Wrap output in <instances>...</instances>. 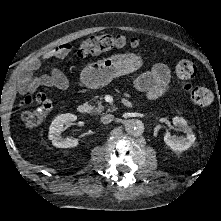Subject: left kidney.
<instances>
[{"instance_id": "1", "label": "left kidney", "mask_w": 221, "mask_h": 221, "mask_svg": "<svg viewBox=\"0 0 221 221\" xmlns=\"http://www.w3.org/2000/svg\"><path fill=\"white\" fill-rule=\"evenodd\" d=\"M173 125L175 129H180L186 136L178 137L176 135H171L169 131H167L164 135V142L175 151H184L191 147V145L195 142V135L193 134L191 128L188 126L186 120L182 117H174Z\"/></svg>"}]
</instances>
